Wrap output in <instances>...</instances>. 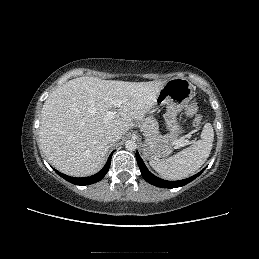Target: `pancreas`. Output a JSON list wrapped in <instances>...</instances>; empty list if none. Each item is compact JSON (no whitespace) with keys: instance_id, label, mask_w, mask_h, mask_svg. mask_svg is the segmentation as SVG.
<instances>
[{"instance_id":"cf45deb5","label":"pancreas","mask_w":259,"mask_h":259,"mask_svg":"<svg viewBox=\"0 0 259 259\" xmlns=\"http://www.w3.org/2000/svg\"><path fill=\"white\" fill-rule=\"evenodd\" d=\"M140 126H141V131H143L144 136L151 140L159 141V140H166L168 138H171L170 135L161 136L159 134L158 123L155 119H153L151 117L143 119L140 123Z\"/></svg>"}]
</instances>
